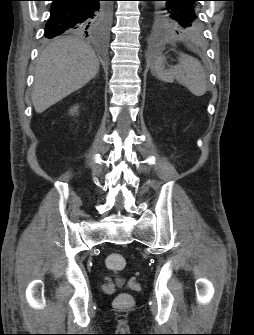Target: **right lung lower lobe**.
Segmentation results:
<instances>
[{"instance_id": "obj_1", "label": "right lung lower lobe", "mask_w": 254, "mask_h": 335, "mask_svg": "<svg viewBox=\"0 0 254 335\" xmlns=\"http://www.w3.org/2000/svg\"><path fill=\"white\" fill-rule=\"evenodd\" d=\"M102 4V0H52L45 38L79 30L89 33L100 17Z\"/></svg>"}]
</instances>
